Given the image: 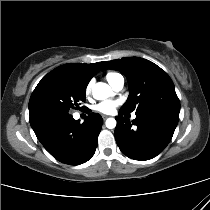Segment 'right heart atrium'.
Returning <instances> with one entry per match:
<instances>
[{
	"label": "right heart atrium",
	"instance_id": "d8ad5b80",
	"mask_svg": "<svg viewBox=\"0 0 210 210\" xmlns=\"http://www.w3.org/2000/svg\"><path fill=\"white\" fill-rule=\"evenodd\" d=\"M92 87H93V83L92 82H89L85 88V94L87 96H89L91 94V91H92Z\"/></svg>",
	"mask_w": 210,
	"mask_h": 210
}]
</instances>
